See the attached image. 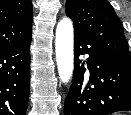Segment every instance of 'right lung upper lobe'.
Returning a JSON list of instances; mask_svg holds the SVG:
<instances>
[{
  "mask_svg": "<svg viewBox=\"0 0 131 115\" xmlns=\"http://www.w3.org/2000/svg\"><path fill=\"white\" fill-rule=\"evenodd\" d=\"M32 17L31 0H0V49L29 39Z\"/></svg>",
  "mask_w": 131,
  "mask_h": 115,
  "instance_id": "1",
  "label": "right lung upper lobe"
}]
</instances>
